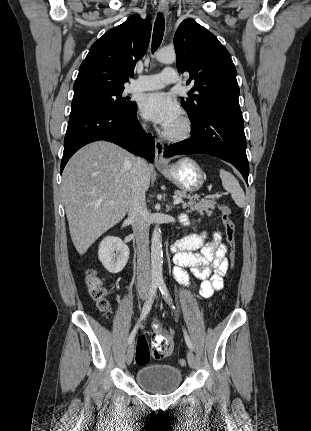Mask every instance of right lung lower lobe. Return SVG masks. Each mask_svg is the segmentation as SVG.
<instances>
[{
	"label": "right lung lower lobe",
	"instance_id": "98d812e1",
	"mask_svg": "<svg viewBox=\"0 0 311 431\" xmlns=\"http://www.w3.org/2000/svg\"><path fill=\"white\" fill-rule=\"evenodd\" d=\"M136 112L137 107L130 113L105 108H84L71 112L64 139L61 173L78 149L97 140L113 142L153 162L154 140L140 126Z\"/></svg>",
	"mask_w": 311,
	"mask_h": 431
}]
</instances>
